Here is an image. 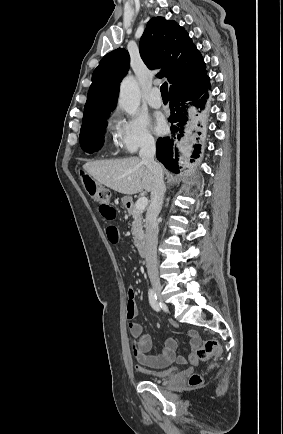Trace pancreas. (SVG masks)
<instances>
[{"instance_id": "cf45deb5", "label": "pancreas", "mask_w": 283, "mask_h": 434, "mask_svg": "<svg viewBox=\"0 0 283 434\" xmlns=\"http://www.w3.org/2000/svg\"><path fill=\"white\" fill-rule=\"evenodd\" d=\"M128 213L134 219L132 222L133 242L135 245H138L144 239L142 211L132 206L128 209Z\"/></svg>"}]
</instances>
